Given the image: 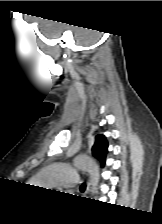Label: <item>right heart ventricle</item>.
I'll list each match as a JSON object with an SVG mask.
<instances>
[{"label": "right heart ventricle", "mask_w": 162, "mask_h": 224, "mask_svg": "<svg viewBox=\"0 0 162 224\" xmlns=\"http://www.w3.org/2000/svg\"><path fill=\"white\" fill-rule=\"evenodd\" d=\"M31 185L42 186L44 185V183L40 180V177H39V179L33 178L31 180Z\"/></svg>", "instance_id": "right-heart-ventricle-1"}]
</instances>
